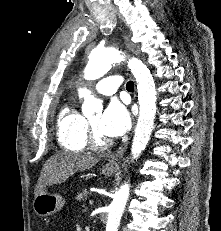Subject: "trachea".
<instances>
[{
	"label": "trachea",
	"instance_id": "3493384b",
	"mask_svg": "<svg viewBox=\"0 0 221 231\" xmlns=\"http://www.w3.org/2000/svg\"><path fill=\"white\" fill-rule=\"evenodd\" d=\"M126 89H127L128 91H133V90H134V82H133V81L127 82V84H126Z\"/></svg>",
	"mask_w": 221,
	"mask_h": 231
}]
</instances>
